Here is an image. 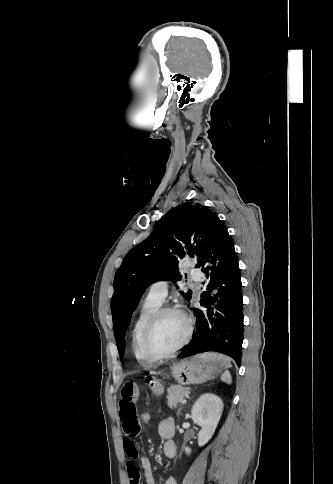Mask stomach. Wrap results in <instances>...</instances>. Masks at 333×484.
I'll return each mask as SVG.
<instances>
[{
	"mask_svg": "<svg viewBox=\"0 0 333 484\" xmlns=\"http://www.w3.org/2000/svg\"><path fill=\"white\" fill-rule=\"evenodd\" d=\"M230 365L226 356L218 353H203L182 359L170 367V373L181 386L199 384L215 378ZM159 373L151 371L146 379L148 387L157 395L163 392Z\"/></svg>",
	"mask_w": 333,
	"mask_h": 484,
	"instance_id": "0dacf381",
	"label": "stomach"
}]
</instances>
